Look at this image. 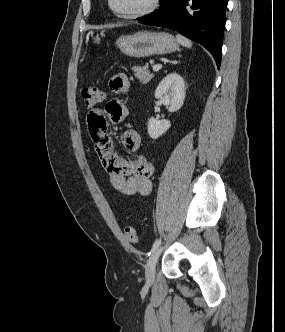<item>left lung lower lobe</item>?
<instances>
[{"instance_id": "left-lung-lower-lobe-1", "label": "left lung lower lobe", "mask_w": 285, "mask_h": 332, "mask_svg": "<svg viewBox=\"0 0 285 332\" xmlns=\"http://www.w3.org/2000/svg\"><path fill=\"white\" fill-rule=\"evenodd\" d=\"M228 0H162L159 10L138 18L153 26L169 28L204 46L221 63L225 11Z\"/></svg>"}]
</instances>
